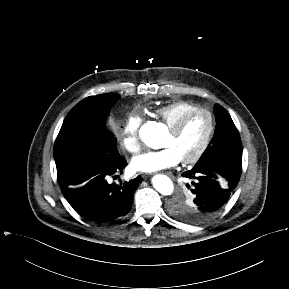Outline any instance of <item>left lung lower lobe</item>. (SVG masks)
Wrapping results in <instances>:
<instances>
[{
    "instance_id": "obj_1",
    "label": "left lung lower lobe",
    "mask_w": 289,
    "mask_h": 289,
    "mask_svg": "<svg viewBox=\"0 0 289 289\" xmlns=\"http://www.w3.org/2000/svg\"><path fill=\"white\" fill-rule=\"evenodd\" d=\"M241 171L242 164L224 163L193 168L182 174L192 179V186L188 188L199 218L207 221L220 212L237 186Z\"/></svg>"
}]
</instances>
